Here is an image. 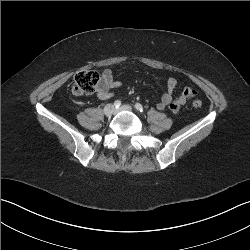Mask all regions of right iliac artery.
Returning a JSON list of instances; mask_svg holds the SVG:
<instances>
[{"mask_svg":"<svg viewBox=\"0 0 250 250\" xmlns=\"http://www.w3.org/2000/svg\"><path fill=\"white\" fill-rule=\"evenodd\" d=\"M121 106V101L120 100H116L115 102H114V107L115 108H119Z\"/></svg>","mask_w":250,"mask_h":250,"instance_id":"right-iliac-artery-1","label":"right iliac artery"}]
</instances>
